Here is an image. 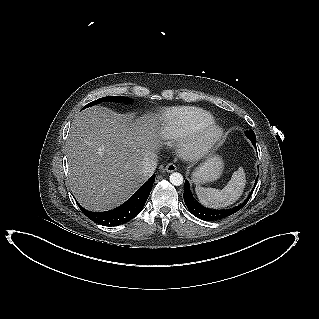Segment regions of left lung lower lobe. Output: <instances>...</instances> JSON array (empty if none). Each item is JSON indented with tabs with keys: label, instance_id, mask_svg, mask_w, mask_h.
Returning a JSON list of instances; mask_svg holds the SVG:
<instances>
[{
	"label": "left lung lower lobe",
	"instance_id": "0a47b994",
	"mask_svg": "<svg viewBox=\"0 0 319 319\" xmlns=\"http://www.w3.org/2000/svg\"><path fill=\"white\" fill-rule=\"evenodd\" d=\"M253 145L256 147V142H252ZM258 179V177H257ZM253 191V190H252ZM252 192L249 194L247 199L240 205L233 207L231 209H223V210H212L203 207L201 204H199L194 198L190 190L189 182L185 181V188L183 193V198L185 201V204L189 211L195 215L196 217L205 220V221H212V220H220L222 218L228 217L240 209H242L245 204L248 202Z\"/></svg>",
	"mask_w": 319,
	"mask_h": 319
}]
</instances>
